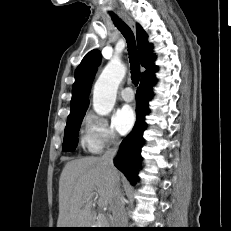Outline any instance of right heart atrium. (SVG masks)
<instances>
[{
	"label": "right heart atrium",
	"instance_id": "d8ad5b80",
	"mask_svg": "<svg viewBox=\"0 0 231 231\" xmlns=\"http://www.w3.org/2000/svg\"><path fill=\"white\" fill-rule=\"evenodd\" d=\"M84 128L93 152H101L119 143L114 126L105 117L88 112L84 118Z\"/></svg>",
	"mask_w": 231,
	"mask_h": 231
}]
</instances>
